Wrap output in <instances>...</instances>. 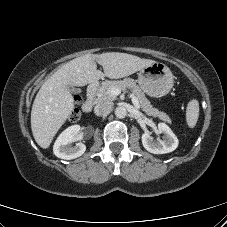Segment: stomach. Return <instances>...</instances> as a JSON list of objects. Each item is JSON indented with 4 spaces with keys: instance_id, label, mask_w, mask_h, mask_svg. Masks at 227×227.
Segmentation results:
<instances>
[{
    "instance_id": "0dacf381",
    "label": "stomach",
    "mask_w": 227,
    "mask_h": 227,
    "mask_svg": "<svg viewBox=\"0 0 227 227\" xmlns=\"http://www.w3.org/2000/svg\"><path fill=\"white\" fill-rule=\"evenodd\" d=\"M174 76L163 63L155 62L138 73V84L143 92L152 97H162L173 87Z\"/></svg>"
}]
</instances>
